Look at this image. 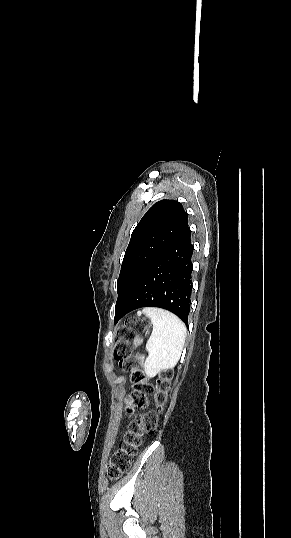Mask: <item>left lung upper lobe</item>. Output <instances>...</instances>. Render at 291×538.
Instances as JSON below:
<instances>
[{"mask_svg":"<svg viewBox=\"0 0 291 538\" xmlns=\"http://www.w3.org/2000/svg\"><path fill=\"white\" fill-rule=\"evenodd\" d=\"M188 227L181 203L161 200L142 217L132 232L117 281V307H123L158 256Z\"/></svg>","mask_w":291,"mask_h":538,"instance_id":"5c2ea615","label":"left lung upper lobe"}]
</instances>
